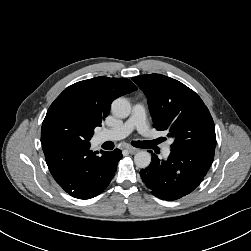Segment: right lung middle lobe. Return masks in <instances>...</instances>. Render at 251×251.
Returning <instances> with one entry per match:
<instances>
[{"instance_id": "right-lung-middle-lobe-1", "label": "right lung middle lobe", "mask_w": 251, "mask_h": 251, "mask_svg": "<svg viewBox=\"0 0 251 251\" xmlns=\"http://www.w3.org/2000/svg\"><path fill=\"white\" fill-rule=\"evenodd\" d=\"M94 130L77 115L62 109L48 111L42 124L41 143L89 145Z\"/></svg>"}]
</instances>
